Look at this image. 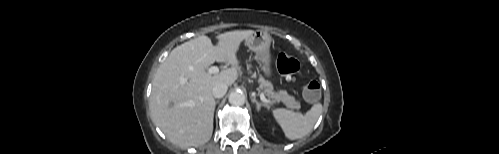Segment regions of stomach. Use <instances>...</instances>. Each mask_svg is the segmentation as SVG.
I'll return each instance as SVG.
<instances>
[{"mask_svg": "<svg viewBox=\"0 0 499 154\" xmlns=\"http://www.w3.org/2000/svg\"><path fill=\"white\" fill-rule=\"evenodd\" d=\"M271 36L268 32L257 30L246 39L250 50L255 52L261 70L266 76L271 75Z\"/></svg>", "mask_w": 499, "mask_h": 154, "instance_id": "stomach-1", "label": "stomach"}]
</instances>
